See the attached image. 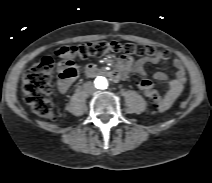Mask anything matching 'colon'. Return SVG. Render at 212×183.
I'll return each mask as SVG.
<instances>
[{"mask_svg":"<svg viewBox=\"0 0 212 183\" xmlns=\"http://www.w3.org/2000/svg\"><path fill=\"white\" fill-rule=\"evenodd\" d=\"M56 55L63 60L57 63L60 74L64 78L73 79L77 76V68L73 62L75 58L85 59L107 53H123L125 56L147 57L157 63L167 61L170 54L151 45H141L117 41H96L79 45L62 46L56 50ZM55 61L51 57H44L31 66L23 77V92L25 102L32 112L43 118L53 117V106L50 101L52 93V78ZM150 81L143 84L144 94L157 109L164 97L150 86Z\"/></svg>","mask_w":212,"mask_h":183,"instance_id":"5ec220e1","label":"colon"}]
</instances>
